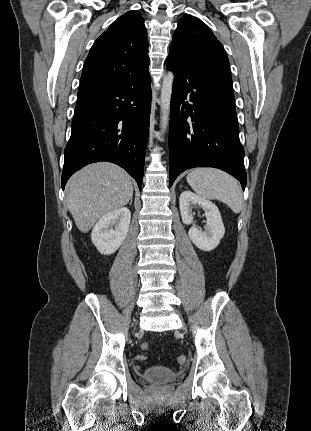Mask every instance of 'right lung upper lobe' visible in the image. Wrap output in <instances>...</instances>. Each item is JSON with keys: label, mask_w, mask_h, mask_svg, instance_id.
Listing matches in <instances>:
<instances>
[{"label": "right lung upper lobe", "mask_w": 311, "mask_h": 431, "mask_svg": "<svg viewBox=\"0 0 311 431\" xmlns=\"http://www.w3.org/2000/svg\"><path fill=\"white\" fill-rule=\"evenodd\" d=\"M144 19L129 11L95 41L83 66L78 95L135 80L148 70Z\"/></svg>", "instance_id": "cb5924a9"}]
</instances>
